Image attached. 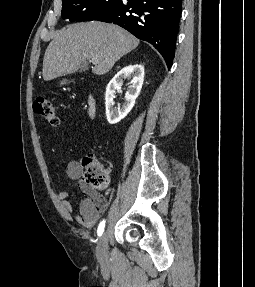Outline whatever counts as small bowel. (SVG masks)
I'll return each mask as SVG.
<instances>
[{
	"instance_id": "1",
	"label": "small bowel",
	"mask_w": 255,
	"mask_h": 287,
	"mask_svg": "<svg viewBox=\"0 0 255 287\" xmlns=\"http://www.w3.org/2000/svg\"><path fill=\"white\" fill-rule=\"evenodd\" d=\"M83 168L81 164L72 160L66 165V176L78 183L80 191L85 198L81 200L79 205V213L75 216V221L87 228H93L99 221L100 214L105 211L107 201L104 196L90 191L82 181ZM63 216L67 220L72 219V206L68 201V192L63 190L57 194Z\"/></svg>"
}]
</instances>
